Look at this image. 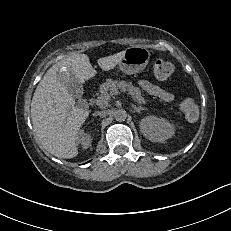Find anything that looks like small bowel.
Wrapping results in <instances>:
<instances>
[{
  "instance_id": "small-bowel-1",
  "label": "small bowel",
  "mask_w": 231,
  "mask_h": 231,
  "mask_svg": "<svg viewBox=\"0 0 231 231\" xmlns=\"http://www.w3.org/2000/svg\"><path fill=\"white\" fill-rule=\"evenodd\" d=\"M139 86L141 87L142 90H144L148 94L158 97L164 101H172L174 98V95L166 88L154 84L148 80H140Z\"/></svg>"
}]
</instances>
